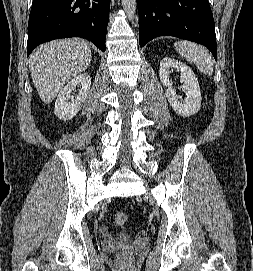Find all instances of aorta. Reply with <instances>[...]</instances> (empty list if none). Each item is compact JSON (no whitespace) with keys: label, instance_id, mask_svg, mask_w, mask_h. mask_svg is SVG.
Listing matches in <instances>:
<instances>
[{"label":"aorta","instance_id":"aorta-1","mask_svg":"<svg viewBox=\"0 0 253 271\" xmlns=\"http://www.w3.org/2000/svg\"><path fill=\"white\" fill-rule=\"evenodd\" d=\"M122 6L127 18L133 21L136 13V0H122Z\"/></svg>","mask_w":253,"mask_h":271}]
</instances>
